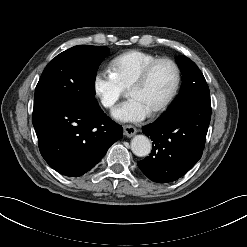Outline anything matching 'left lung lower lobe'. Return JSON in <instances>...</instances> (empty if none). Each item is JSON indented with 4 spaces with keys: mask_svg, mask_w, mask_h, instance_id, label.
<instances>
[{
    "mask_svg": "<svg viewBox=\"0 0 247 247\" xmlns=\"http://www.w3.org/2000/svg\"><path fill=\"white\" fill-rule=\"evenodd\" d=\"M211 118L209 94H199L176 110L165 111L142 128L153 141L150 156L138 167L156 183H168L185 175L201 158Z\"/></svg>",
    "mask_w": 247,
    "mask_h": 247,
    "instance_id": "1",
    "label": "left lung lower lobe"
}]
</instances>
